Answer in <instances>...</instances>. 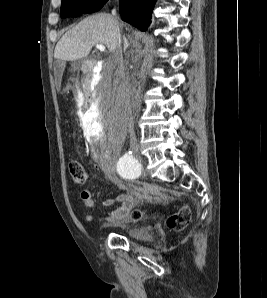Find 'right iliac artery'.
I'll return each instance as SVG.
<instances>
[{
  "label": "right iliac artery",
  "instance_id": "right-iliac-artery-1",
  "mask_svg": "<svg viewBox=\"0 0 267 298\" xmlns=\"http://www.w3.org/2000/svg\"><path fill=\"white\" fill-rule=\"evenodd\" d=\"M121 162L123 163V165L125 164L126 166H129V167L139 166V163L135 159V157H133L132 152H128L125 155H123V157L121 158Z\"/></svg>",
  "mask_w": 267,
  "mask_h": 298
}]
</instances>
